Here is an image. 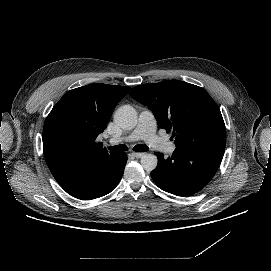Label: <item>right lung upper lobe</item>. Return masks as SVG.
I'll list each match as a JSON object with an SVG mask.
<instances>
[{
    "mask_svg": "<svg viewBox=\"0 0 271 271\" xmlns=\"http://www.w3.org/2000/svg\"><path fill=\"white\" fill-rule=\"evenodd\" d=\"M131 88L89 84L68 91L53 107L43 128L47 165L60 182L90 160L114 156L96 142L118 102Z\"/></svg>",
    "mask_w": 271,
    "mask_h": 271,
    "instance_id": "1",
    "label": "right lung upper lobe"
}]
</instances>
